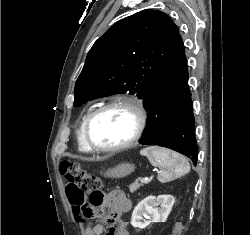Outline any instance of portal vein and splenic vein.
<instances>
[{
	"label": "portal vein and splenic vein",
	"instance_id": "portal-vein-and-splenic-vein-1",
	"mask_svg": "<svg viewBox=\"0 0 250 235\" xmlns=\"http://www.w3.org/2000/svg\"><path fill=\"white\" fill-rule=\"evenodd\" d=\"M147 180H148L147 177H141V178H140V182H146Z\"/></svg>",
	"mask_w": 250,
	"mask_h": 235
}]
</instances>
